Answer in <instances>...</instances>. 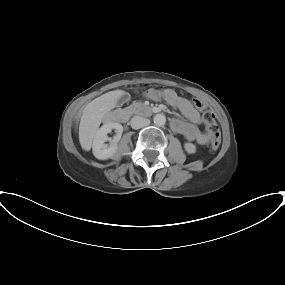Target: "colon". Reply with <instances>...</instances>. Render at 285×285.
Returning <instances> with one entry per match:
<instances>
[{"instance_id":"5ec220e1","label":"colon","mask_w":285,"mask_h":285,"mask_svg":"<svg viewBox=\"0 0 285 285\" xmlns=\"http://www.w3.org/2000/svg\"><path fill=\"white\" fill-rule=\"evenodd\" d=\"M192 102L202 114L203 121L209 133L212 148L217 149L221 143V133L215 119V114L201 99L194 98Z\"/></svg>"}]
</instances>
